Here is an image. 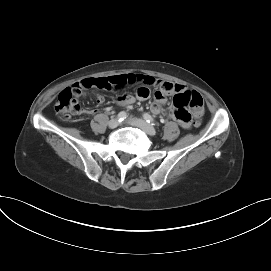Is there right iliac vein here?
Listing matches in <instances>:
<instances>
[{"label": "right iliac vein", "mask_w": 271, "mask_h": 271, "mask_svg": "<svg viewBox=\"0 0 271 271\" xmlns=\"http://www.w3.org/2000/svg\"><path fill=\"white\" fill-rule=\"evenodd\" d=\"M119 124H120L119 120L117 118H113L109 121L108 125L110 128L114 129V128L118 127Z\"/></svg>", "instance_id": "obj_1"}]
</instances>
